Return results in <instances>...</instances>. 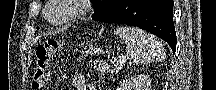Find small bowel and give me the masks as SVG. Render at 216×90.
Segmentation results:
<instances>
[{"label": "small bowel", "instance_id": "c3829d8e", "mask_svg": "<svg viewBox=\"0 0 216 90\" xmlns=\"http://www.w3.org/2000/svg\"><path fill=\"white\" fill-rule=\"evenodd\" d=\"M73 84L76 90H95L94 86L88 83L86 78L80 74L73 77Z\"/></svg>", "mask_w": 216, "mask_h": 90}]
</instances>
